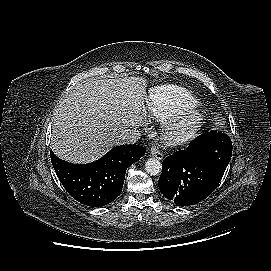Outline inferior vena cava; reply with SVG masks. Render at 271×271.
<instances>
[{"instance_id": "1", "label": "inferior vena cava", "mask_w": 271, "mask_h": 271, "mask_svg": "<svg viewBox=\"0 0 271 271\" xmlns=\"http://www.w3.org/2000/svg\"><path fill=\"white\" fill-rule=\"evenodd\" d=\"M140 138V132L136 128L121 132L116 138L117 145L134 144Z\"/></svg>"}]
</instances>
